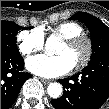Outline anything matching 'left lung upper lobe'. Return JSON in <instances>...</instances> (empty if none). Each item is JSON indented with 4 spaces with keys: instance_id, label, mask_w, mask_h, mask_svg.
Listing matches in <instances>:
<instances>
[{
    "instance_id": "obj_1",
    "label": "left lung upper lobe",
    "mask_w": 109,
    "mask_h": 109,
    "mask_svg": "<svg viewBox=\"0 0 109 109\" xmlns=\"http://www.w3.org/2000/svg\"><path fill=\"white\" fill-rule=\"evenodd\" d=\"M72 20L83 22L90 31L92 42L91 59H95L101 55L109 54V27L95 16L78 12L71 17ZM81 97V90L78 87L67 90L65 98L69 103L73 104Z\"/></svg>"
}]
</instances>
